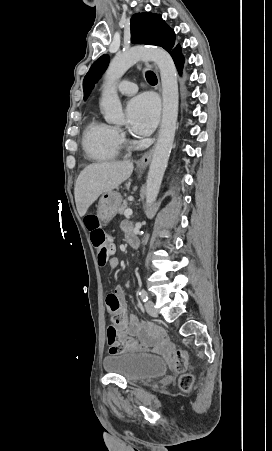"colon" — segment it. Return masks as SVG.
Masks as SVG:
<instances>
[{"label":"colon","mask_w":272,"mask_h":451,"mask_svg":"<svg viewBox=\"0 0 272 451\" xmlns=\"http://www.w3.org/2000/svg\"><path fill=\"white\" fill-rule=\"evenodd\" d=\"M85 225L90 231V239L97 252V264L99 266L108 264L112 249V242L107 240L110 236L109 231L99 227L100 221L96 215L87 216ZM106 346L114 355H121L125 351H141L144 348L141 342H130L129 338L118 339L116 326L113 325L106 329ZM163 351L169 354L170 367H174L176 372L182 374L178 381L179 386L189 392L194 387V379L191 374L186 373V354L181 353V346L169 343L164 346Z\"/></svg>","instance_id":"5ec220e1"}]
</instances>
